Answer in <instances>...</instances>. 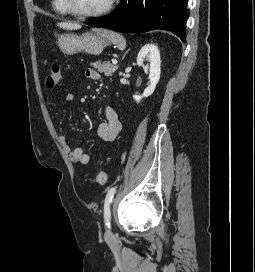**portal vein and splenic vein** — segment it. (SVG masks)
Listing matches in <instances>:
<instances>
[{
  "instance_id": "18ae733b",
  "label": "portal vein and splenic vein",
  "mask_w": 255,
  "mask_h": 272,
  "mask_svg": "<svg viewBox=\"0 0 255 272\" xmlns=\"http://www.w3.org/2000/svg\"><path fill=\"white\" fill-rule=\"evenodd\" d=\"M112 63L113 64H117V60L116 59H112Z\"/></svg>"
}]
</instances>
